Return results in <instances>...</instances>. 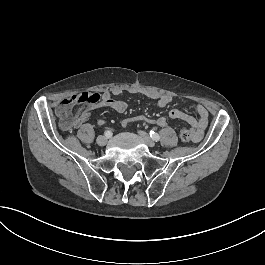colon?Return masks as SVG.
I'll return each mask as SVG.
<instances>
[{"label":"colon","mask_w":265,"mask_h":265,"mask_svg":"<svg viewBox=\"0 0 265 265\" xmlns=\"http://www.w3.org/2000/svg\"><path fill=\"white\" fill-rule=\"evenodd\" d=\"M100 95L95 92L90 93H79V94H72L70 97H67L63 104L60 105L57 109L58 116L60 118V123L64 127H69L73 123V119L76 116L77 112L73 110L78 106H84L87 104L95 105L100 102ZM70 107V108H69ZM73 108V109H71ZM180 137L184 142H191L189 132H186L182 129L180 130Z\"/></svg>","instance_id":"1"}]
</instances>
